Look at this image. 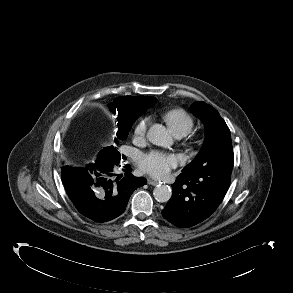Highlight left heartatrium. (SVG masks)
<instances>
[{"instance_id":"1","label":"left heart atrium","mask_w":293,"mask_h":293,"mask_svg":"<svg viewBox=\"0 0 293 293\" xmlns=\"http://www.w3.org/2000/svg\"><path fill=\"white\" fill-rule=\"evenodd\" d=\"M176 157L162 152H151L140 158V168L145 173L155 177L164 178L170 169L176 165Z\"/></svg>"}]
</instances>
